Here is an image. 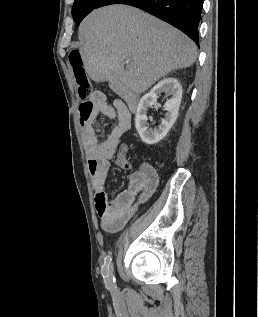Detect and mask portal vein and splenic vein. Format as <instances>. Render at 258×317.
I'll return each instance as SVG.
<instances>
[{
    "label": "portal vein and splenic vein",
    "instance_id": "1",
    "mask_svg": "<svg viewBox=\"0 0 258 317\" xmlns=\"http://www.w3.org/2000/svg\"><path fill=\"white\" fill-rule=\"evenodd\" d=\"M125 62H126V64H127V66H128V64H129L130 60H125Z\"/></svg>",
    "mask_w": 258,
    "mask_h": 317
}]
</instances>
